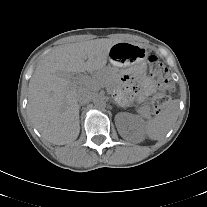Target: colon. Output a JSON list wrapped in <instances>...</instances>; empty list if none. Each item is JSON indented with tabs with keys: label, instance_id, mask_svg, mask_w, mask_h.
<instances>
[{
	"label": "colon",
	"instance_id": "1",
	"mask_svg": "<svg viewBox=\"0 0 207 207\" xmlns=\"http://www.w3.org/2000/svg\"><path fill=\"white\" fill-rule=\"evenodd\" d=\"M150 75L157 81L159 92L153 97L152 103L156 114H160L170 105L166 91H173L174 84L168 77V71L162 61L155 55L148 59Z\"/></svg>",
	"mask_w": 207,
	"mask_h": 207
}]
</instances>
